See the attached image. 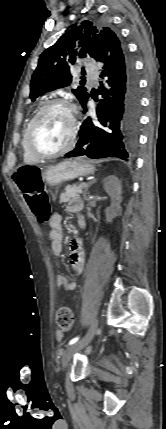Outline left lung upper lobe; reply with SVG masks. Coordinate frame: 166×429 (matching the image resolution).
Listing matches in <instances>:
<instances>
[{"label": "left lung upper lobe", "instance_id": "left-lung-upper-lobe-1", "mask_svg": "<svg viewBox=\"0 0 166 429\" xmlns=\"http://www.w3.org/2000/svg\"><path fill=\"white\" fill-rule=\"evenodd\" d=\"M113 39H118V35L108 27L95 26L89 21L72 25L69 31L40 55L32 75L29 98L34 101L47 91L68 86L72 80L70 66L78 58L95 59L98 43L109 44ZM72 92L81 104L89 96L87 89L82 86L72 89Z\"/></svg>", "mask_w": 166, "mask_h": 429}]
</instances>
